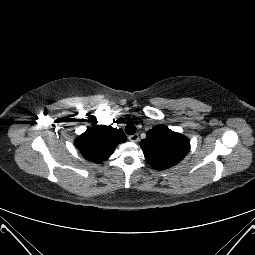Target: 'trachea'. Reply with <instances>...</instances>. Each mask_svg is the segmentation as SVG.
Here are the masks:
<instances>
[{
    "label": "trachea",
    "instance_id": "3493384b",
    "mask_svg": "<svg viewBox=\"0 0 255 255\" xmlns=\"http://www.w3.org/2000/svg\"><path fill=\"white\" fill-rule=\"evenodd\" d=\"M125 132L128 134V135H134L135 132H136V127L134 124L132 123H129L126 125L125 127Z\"/></svg>",
    "mask_w": 255,
    "mask_h": 255
}]
</instances>
